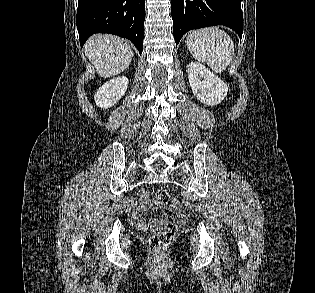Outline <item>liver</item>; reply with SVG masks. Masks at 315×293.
Listing matches in <instances>:
<instances>
[{
	"label": "liver",
	"mask_w": 315,
	"mask_h": 293,
	"mask_svg": "<svg viewBox=\"0 0 315 293\" xmlns=\"http://www.w3.org/2000/svg\"><path fill=\"white\" fill-rule=\"evenodd\" d=\"M85 55L99 76L108 78L128 68L133 52L126 41L113 35H95L84 46Z\"/></svg>",
	"instance_id": "6515ba94"
}]
</instances>
